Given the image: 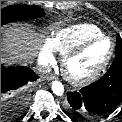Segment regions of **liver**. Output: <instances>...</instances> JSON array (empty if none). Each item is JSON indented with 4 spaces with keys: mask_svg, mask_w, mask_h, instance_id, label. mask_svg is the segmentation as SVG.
I'll return each instance as SVG.
<instances>
[{
    "mask_svg": "<svg viewBox=\"0 0 122 122\" xmlns=\"http://www.w3.org/2000/svg\"><path fill=\"white\" fill-rule=\"evenodd\" d=\"M42 37L30 26H9L4 29L1 40L2 61L19 65L31 63L40 50Z\"/></svg>",
    "mask_w": 122,
    "mask_h": 122,
    "instance_id": "1",
    "label": "liver"
}]
</instances>
